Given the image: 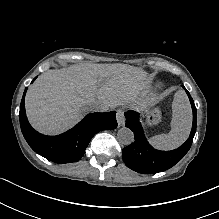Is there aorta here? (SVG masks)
<instances>
[{
  "label": "aorta",
  "mask_w": 219,
  "mask_h": 219,
  "mask_svg": "<svg viewBox=\"0 0 219 219\" xmlns=\"http://www.w3.org/2000/svg\"><path fill=\"white\" fill-rule=\"evenodd\" d=\"M117 139L123 145H130L134 141V133L127 127H122L117 132Z\"/></svg>",
  "instance_id": "obj_1"
}]
</instances>
